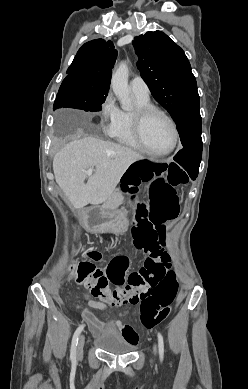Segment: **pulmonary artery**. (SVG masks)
I'll return each instance as SVG.
<instances>
[{"label":"pulmonary artery","instance_id":"1","mask_svg":"<svg viewBox=\"0 0 248 389\" xmlns=\"http://www.w3.org/2000/svg\"><path fill=\"white\" fill-rule=\"evenodd\" d=\"M130 88L135 96L143 99H149L150 90L140 76H136L131 79Z\"/></svg>","mask_w":248,"mask_h":389}]
</instances>
